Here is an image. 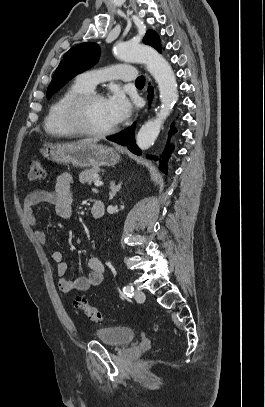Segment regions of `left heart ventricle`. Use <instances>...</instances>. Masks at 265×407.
<instances>
[{
  "label": "left heart ventricle",
  "instance_id": "left-heart-ventricle-1",
  "mask_svg": "<svg viewBox=\"0 0 265 407\" xmlns=\"http://www.w3.org/2000/svg\"><path fill=\"white\" fill-rule=\"evenodd\" d=\"M85 123L88 128L103 131L115 126L107 110L105 99L93 101L85 111Z\"/></svg>",
  "mask_w": 265,
  "mask_h": 407
}]
</instances>
